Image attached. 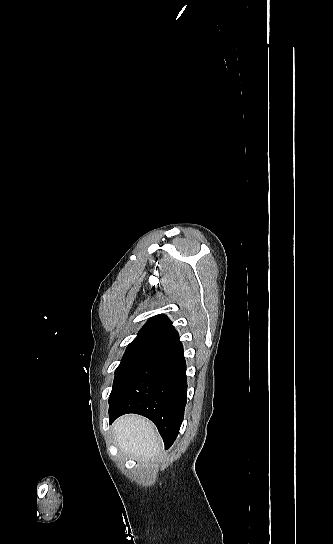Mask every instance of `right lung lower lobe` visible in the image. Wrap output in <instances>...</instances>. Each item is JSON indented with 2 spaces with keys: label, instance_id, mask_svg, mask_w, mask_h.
Wrapping results in <instances>:
<instances>
[{
  "label": "right lung lower lobe",
  "instance_id": "obj_1",
  "mask_svg": "<svg viewBox=\"0 0 333 544\" xmlns=\"http://www.w3.org/2000/svg\"><path fill=\"white\" fill-rule=\"evenodd\" d=\"M186 394L184 352L176 338L152 348L124 386L109 399V422L126 413L143 415L157 426L167 449L179 434Z\"/></svg>",
  "mask_w": 333,
  "mask_h": 544
}]
</instances>
